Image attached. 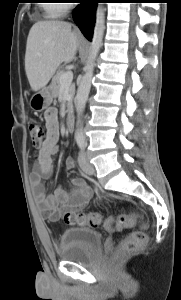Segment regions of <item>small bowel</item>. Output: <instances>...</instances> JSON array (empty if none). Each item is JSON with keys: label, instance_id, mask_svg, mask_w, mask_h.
I'll list each match as a JSON object with an SVG mask.
<instances>
[{"label": "small bowel", "instance_id": "small-bowel-1", "mask_svg": "<svg viewBox=\"0 0 181 300\" xmlns=\"http://www.w3.org/2000/svg\"><path fill=\"white\" fill-rule=\"evenodd\" d=\"M46 138L35 157V172L32 177V185L35 189L37 203L47 214L51 221L59 220L67 212H77L92 199L93 193L81 178H73V189L68 192L62 187H57L51 194L45 192L43 179L49 177L53 171V157L59 150V120L58 112L54 107L45 111ZM67 169L74 167L72 158L65 162Z\"/></svg>", "mask_w": 181, "mask_h": 300}]
</instances>
